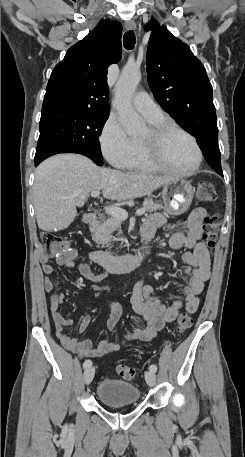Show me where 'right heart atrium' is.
I'll use <instances>...</instances> for the list:
<instances>
[{
    "label": "right heart atrium",
    "mask_w": 245,
    "mask_h": 457,
    "mask_svg": "<svg viewBox=\"0 0 245 457\" xmlns=\"http://www.w3.org/2000/svg\"><path fill=\"white\" fill-rule=\"evenodd\" d=\"M99 141L105 157L114 164L125 160L133 148V140L126 133L121 121L114 116L106 120Z\"/></svg>",
    "instance_id": "d8ad5b80"
}]
</instances>
